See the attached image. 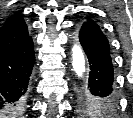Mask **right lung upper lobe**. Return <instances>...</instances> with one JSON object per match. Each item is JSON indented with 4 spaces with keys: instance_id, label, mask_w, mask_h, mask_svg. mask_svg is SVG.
Wrapping results in <instances>:
<instances>
[{
    "instance_id": "obj_1",
    "label": "right lung upper lobe",
    "mask_w": 133,
    "mask_h": 118,
    "mask_svg": "<svg viewBox=\"0 0 133 118\" xmlns=\"http://www.w3.org/2000/svg\"><path fill=\"white\" fill-rule=\"evenodd\" d=\"M29 37L27 25L20 12L15 13L0 28V54L18 46Z\"/></svg>"
}]
</instances>
